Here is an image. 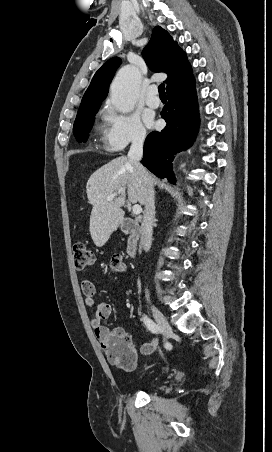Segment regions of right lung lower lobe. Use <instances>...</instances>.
I'll return each mask as SVG.
<instances>
[{
    "mask_svg": "<svg viewBox=\"0 0 272 452\" xmlns=\"http://www.w3.org/2000/svg\"><path fill=\"white\" fill-rule=\"evenodd\" d=\"M168 103L161 116L167 126L150 133L145 141L142 163L159 178L175 184L170 156L183 151L193 143L199 124L195 80L192 76L168 92ZM167 158H170L167 161Z\"/></svg>",
    "mask_w": 272,
    "mask_h": 452,
    "instance_id": "right-lung-lower-lobe-1",
    "label": "right lung lower lobe"
}]
</instances>
